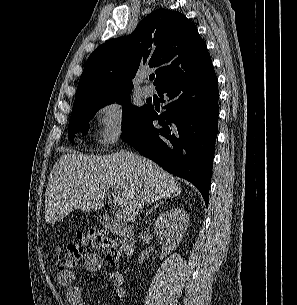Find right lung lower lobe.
<instances>
[{
  "label": "right lung lower lobe",
  "mask_w": 297,
  "mask_h": 305,
  "mask_svg": "<svg viewBox=\"0 0 297 305\" xmlns=\"http://www.w3.org/2000/svg\"><path fill=\"white\" fill-rule=\"evenodd\" d=\"M164 112L149 105L121 138L163 169L190 181L208 206L218 130V82L211 65L190 78L156 89Z\"/></svg>",
  "instance_id": "1"
}]
</instances>
